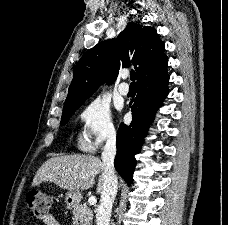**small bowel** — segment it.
Returning <instances> with one entry per match:
<instances>
[{
    "label": "small bowel",
    "instance_id": "small-bowel-1",
    "mask_svg": "<svg viewBox=\"0 0 228 225\" xmlns=\"http://www.w3.org/2000/svg\"><path fill=\"white\" fill-rule=\"evenodd\" d=\"M44 225H59V222L55 219L54 216L48 214L44 219H43Z\"/></svg>",
    "mask_w": 228,
    "mask_h": 225
}]
</instances>
